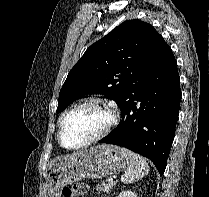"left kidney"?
<instances>
[{
	"instance_id": "5707ae66",
	"label": "left kidney",
	"mask_w": 209,
	"mask_h": 197,
	"mask_svg": "<svg viewBox=\"0 0 209 197\" xmlns=\"http://www.w3.org/2000/svg\"><path fill=\"white\" fill-rule=\"evenodd\" d=\"M117 197H137V195L132 191L124 190Z\"/></svg>"
}]
</instances>
